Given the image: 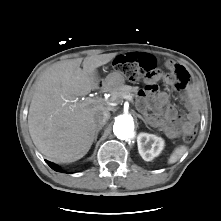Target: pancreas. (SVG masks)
<instances>
[{"label": "pancreas", "instance_id": "1", "mask_svg": "<svg viewBox=\"0 0 221 221\" xmlns=\"http://www.w3.org/2000/svg\"><path fill=\"white\" fill-rule=\"evenodd\" d=\"M137 91V87H132L129 85H123L118 90L112 92V100L113 101H119L124 96L128 95L133 97L134 93Z\"/></svg>", "mask_w": 221, "mask_h": 221}]
</instances>
